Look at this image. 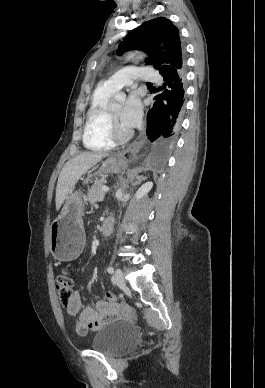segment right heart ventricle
Segmentation results:
<instances>
[{
	"mask_svg": "<svg viewBox=\"0 0 265 388\" xmlns=\"http://www.w3.org/2000/svg\"><path fill=\"white\" fill-rule=\"evenodd\" d=\"M113 96L111 91H94V98L87 114L84 142L87 147L103 151L114 146V140L106 128L107 101Z\"/></svg>",
	"mask_w": 265,
	"mask_h": 388,
	"instance_id": "right-heart-ventricle-1",
	"label": "right heart ventricle"
}]
</instances>
